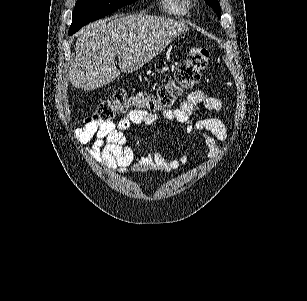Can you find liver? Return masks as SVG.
Here are the masks:
<instances>
[{"instance_id": "liver-1", "label": "liver", "mask_w": 307, "mask_h": 301, "mask_svg": "<svg viewBox=\"0 0 307 301\" xmlns=\"http://www.w3.org/2000/svg\"><path fill=\"white\" fill-rule=\"evenodd\" d=\"M96 20L77 32L75 58L69 78L76 88L94 90L115 80L122 72H133L159 54L188 24L167 16L115 14ZM118 56L120 70L115 66Z\"/></svg>"}]
</instances>
